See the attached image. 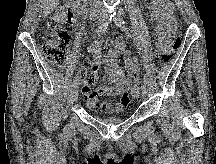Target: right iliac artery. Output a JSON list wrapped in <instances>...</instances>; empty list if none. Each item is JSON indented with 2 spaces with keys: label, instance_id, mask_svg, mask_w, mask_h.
I'll return each mask as SVG.
<instances>
[{
  "label": "right iliac artery",
  "instance_id": "right-iliac-artery-1",
  "mask_svg": "<svg viewBox=\"0 0 216 164\" xmlns=\"http://www.w3.org/2000/svg\"><path fill=\"white\" fill-rule=\"evenodd\" d=\"M111 21H112V18H110L108 22L101 24L96 30L97 35H99V36L103 35L105 33L106 29L108 28V25ZM78 79L79 78L77 76L74 78L73 86H75L77 84Z\"/></svg>",
  "mask_w": 216,
  "mask_h": 164
}]
</instances>
